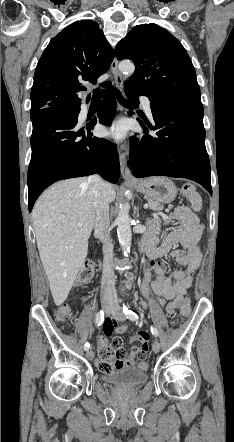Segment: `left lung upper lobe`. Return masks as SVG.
I'll use <instances>...</instances> for the list:
<instances>
[{"label": "left lung upper lobe", "mask_w": 234, "mask_h": 442, "mask_svg": "<svg viewBox=\"0 0 234 442\" xmlns=\"http://www.w3.org/2000/svg\"><path fill=\"white\" fill-rule=\"evenodd\" d=\"M118 60L130 59L135 72L125 82L151 100L201 99L194 66L182 44L156 24L134 27L115 48Z\"/></svg>", "instance_id": "1"}]
</instances>
